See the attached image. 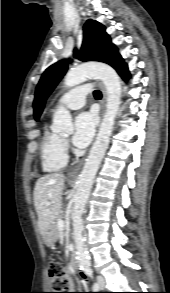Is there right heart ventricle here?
Returning a JSON list of instances; mask_svg holds the SVG:
<instances>
[{
	"label": "right heart ventricle",
	"instance_id": "obj_1",
	"mask_svg": "<svg viewBox=\"0 0 170 293\" xmlns=\"http://www.w3.org/2000/svg\"><path fill=\"white\" fill-rule=\"evenodd\" d=\"M68 157L63 148L60 136L51 131L47 124L42 130L40 141V164L46 173L61 170L67 164Z\"/></svg>",
	"mask_w": 170,
	"mask_h": 293
}]
</instances>
